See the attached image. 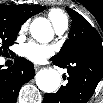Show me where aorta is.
Listing matches in <instances>:
<instances>
[{
	"label": "aorta",
	"mask_w": 103,
	"mask_h": 103,
	"mask_svg": "<svg viewBox=\"0 0 103 103\" xmlns=\"http://www.w3.org/2000/svg\"><path fill=\"white\" fill-rule=\"evenodd\" d=\"M51 25L45 18H37L30 25L32 37L40 40L44 33H51ZM61 78L55 69H42L36 74V84L40 90L46 93L55 92L60 86Z\"/></svg>",
	"instance_id": "obj_1"
}]
</instances>
